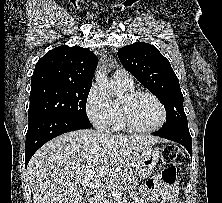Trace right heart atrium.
I'll return each mask as SVG.
<instances>
[{
    "mask_svg": "<svg viewBox=\"0 0 222 203\" xmlns=\"http://www.w3.org/2000/svg\"><path fill=\"white\" fill-rule=\"evenodd\" d=\"M85 110L92 124L100 130L109 128L113 121V102L97 86H92L88 92Z\"/></svg>",
    "mask_w": 222,
    "mask_h": 203,
    "instance_id": "1",
    "label": "right heart atrium"
}]
</instances>
